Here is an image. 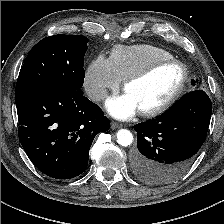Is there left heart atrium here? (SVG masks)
Segmentation results:
<instances>
[{
	"label": "left heart atrium",
	"instance_id": "39dd6f15",
	"mask_svg": "<svg viewBox=\"0 0 224 224\" xmlns=\"http://www.w3.org/2000/svg\"><path fill=\"white\" fill-rule=\"evenodd\" d=\"M106 109L110 115L121 120L129 119L139 111L136 102L127 93L108 99Z\"/></svg>",
	"mask_w": 224,
	"mask_h": 224
}]
</instances>
